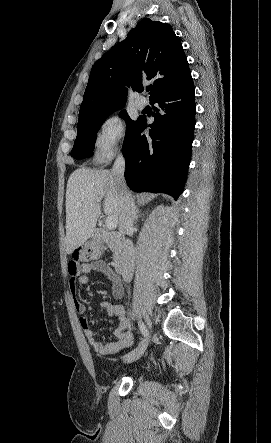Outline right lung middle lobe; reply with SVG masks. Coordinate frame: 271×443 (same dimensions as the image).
I'll return each mask as SVG.
<instances>
[{
	"label": "right lung middle lobe",
	"mask_w": 271,
	"mask_h": 443,
	"mask_svg": "<svg viewBox=\"0 0 271 443\" xmlns=\"http://www.w3.org/2000/svg\"><path fill=\"white\" fill-rule=\"evenodd\" d=\"M122 107L118 108L121 109ZM115 109L113 111H116ZM109 112L103 116L81 118L77 124V137L74 147L71 151V156L76 159H82L89 157L94 150V144L96 134L100 129V126L106 120V118L113 112ZM120 117L126 121L127 131L135 124L136 121L130 119L125 110L119 113Z\"/></svg>",
	"instance_id": "dd1d6c3e"
}]
</instances>
